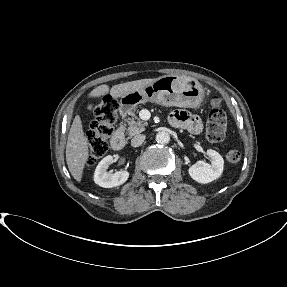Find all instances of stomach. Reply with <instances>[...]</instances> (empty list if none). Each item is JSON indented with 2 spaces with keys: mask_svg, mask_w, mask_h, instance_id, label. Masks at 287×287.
<instances>
[{
  "mask_svg": "<svg viewBox=\"0 0 287 287\" xmlns=\"http://www.w3.org/2000/svg\"><path fill=\"white\" fill-rule=\"evenodd\" d=\"M204 98L200 83L189 77L165 75L139 91L124 94L120 98L119 112L130 114L139 104L153 102L163 106L197 108Z\"/></svg>",
  "mask_w": 287,
  "mask_h": 287,
  "instance_id": "1",
  "label": "stomach"
}]
</instances>
